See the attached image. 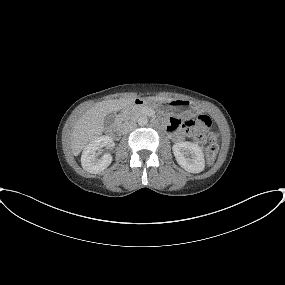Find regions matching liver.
I'll list each match as a JSON object with an SVG mask.
<instances>
[{"label":"liver","instance_id":"obj_1","mask_svg":"<svg viewBox=\"0 0 285 285\" xmlns=\"http://www.w3.org/2000/svg\"><path fill=\"white\" fill-rule=\"evenodd\" d=\"M167 99L165 101H169ZM133 99H113L95 104L86 111L73 127L70 144L73 155L78 156L86 145L98 138L104 131V118L133 104Z\"/></svg>","mask_w":285,"mask_h":285}]
</instances>
